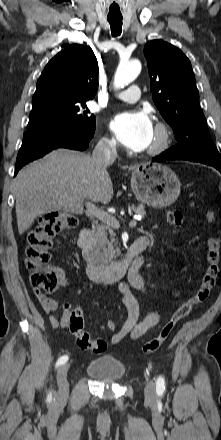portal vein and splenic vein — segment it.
Here are the masks:
<instances>
[{
	"instance_id": "1",
	"label": "portal vein and splenic vein",
	"mask_w": 221,
	"mask_h": 440,
	"mask_svg": "<svg viewBox=\"0 0 221 440\" xmlns=\"http://www.w3.org/2000/svg\"><path fill=\"white\" fill-rule=\"evenodd\" d=\"M86 208L88 213H90L92 216L96 217L97 219H99L100 221L112 226L113 228L118 229L120 227L119 222L117 221V219L110 215L109 213L98 209L93 203L91 202H87L86 203ZM137 224L136 219H133L129 222V226L130 227H135Z\"/></svg>"
}]
</instances>
